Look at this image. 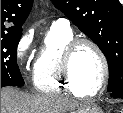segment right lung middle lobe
I'll return each instance as SVG.
<instances>
[{"mask_svg": "<svg viewBox=\"0 0 123 113\" xmlns=\"http://www.w3.org/2000/svg\"><path fill=\"white\" fill-rule=\"evenodd\" d=\"M20 37L21 34L1 36V87L24 85L17 65V46Z\"/></svg>", "mask_w": 123, "mask_h": 113, "instance_id": "right-lung-middle-lobe-1", "label": "right lung middle lobe"}]
</instances>
